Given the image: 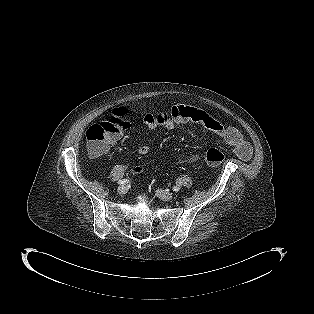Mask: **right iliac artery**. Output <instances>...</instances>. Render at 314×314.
Instances as JSON below:
<instances>
[{"mask_svg":"<svg viewBox=\"0 0 314 314\" xmlns=\"http://www.w3.org/2000/svg\"><path fill=\"white\" fill-rule=\"evenodd\" d=\"M128 181H129V180H127V179H123V180H120V181L118 182V184H125V183H128Z\"/></svg>","mask_w":314,"mask_h":314,"instance_id":"right-iliac-artery-1","label":"right iliac artery"}]
</instances>
